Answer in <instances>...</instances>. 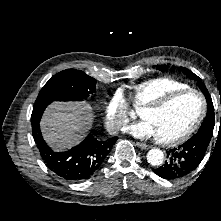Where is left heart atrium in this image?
<instances>
[{"label":"left heart atrium","instance_id":"obj_1","mask_svg":"<svg viewBox=\"0 0 221 221\" xmlns=\"http://www.w3.org/2000/svg\"><path fill=\"white\" fill-rule=\"evenodd\" d=\"M124 131L136 138L155 137V132L151 124L146 120H142L141 122L126 127Z\"/></svg>","mask_w":221,"mask_h":221}]
</instances>
